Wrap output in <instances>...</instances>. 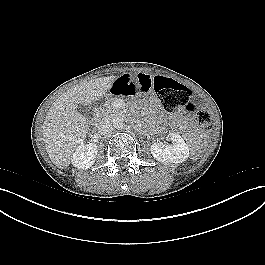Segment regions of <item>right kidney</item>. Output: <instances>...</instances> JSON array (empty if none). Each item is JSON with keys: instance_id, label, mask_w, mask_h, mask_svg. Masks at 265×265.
<instances>
[{"instance_id": "right-kidney-1", "label": "right kidney", "mask_w": 265, "mask_h": 265, "mask_svg": "<svg viewBox=\"0 0 265 265\" xmlns=\"http://www.w3.org/2000/svg\"><path fill=\"white\" fill-rule=\"evenodd\" d=\"M97 153L98 147L96 144L81 142L73 153L71 162L78 169H88L95 163Z\"/></svg>"}]
</instances>
